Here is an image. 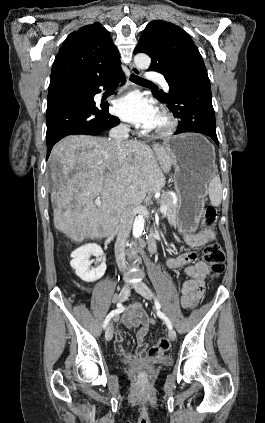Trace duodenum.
I'll return each instance as SVG.
<instances>
[{"label":"duodenum","mask_w":265,"mask_h":423,"mask_svg":"<svg viewBox=\"0 0 265 423\" xmlns=\"http://www.w3.org/2000/svg\"><path fill=\"white\" fill-rule=\"evenodd\" d=\"M156 248H157L156 231H152L148 239V250L150 253H154L156 251Z\"/></svg>","instance_id":"1"}]
</instances>
